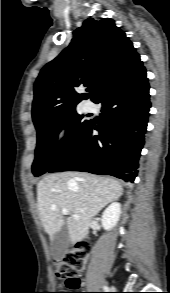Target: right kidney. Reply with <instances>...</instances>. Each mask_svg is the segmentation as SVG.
I'll return each instance as SVG.
<instances>
[{"label":"right kidney","mask_w":170,"mask_h":293,"mask_svg":"<svg viewBox=\"0 0 170 293\" xmlns=\"http://www.w3.org/2000/svg\"><path fill=\"white\" fill-rule=\"evenodd\" d=\"M121 215V204L118 202L108 206L102 214V226L105 230H111L116 226Z\"/></svg>","instance_id":"right-kidney-1"}]
</instances>
